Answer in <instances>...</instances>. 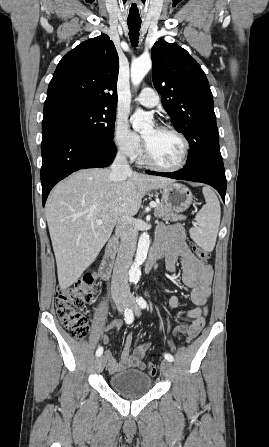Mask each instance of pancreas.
Segmentation results:
<instances>
[{"label": "pancreas", "mask_w": 269, "mask_h": 447, "mask_svg": "<svg viewBox=\"0 0 269 447\" xmlns=\"http://www.w3.org/2000/svg\"><path fill=\"white\" fill-rule=\"evenodd\" d=\"M155 218H162V220H171V222H180V220H186L185 216H179V214H173L165 204H157L154 210Z\"/></svg>", "instance_id": "pancreas-1"}]
</instances>
